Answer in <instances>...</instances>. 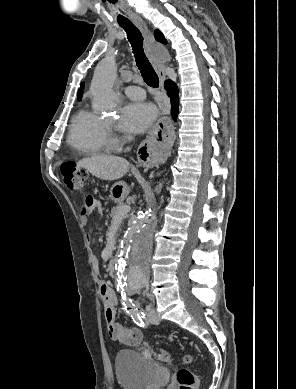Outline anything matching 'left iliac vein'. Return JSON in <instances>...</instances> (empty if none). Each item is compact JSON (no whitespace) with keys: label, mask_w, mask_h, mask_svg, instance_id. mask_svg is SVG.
I'll list each match as a JSON object with an SVG mask.
<instances>
[{"label":"left iliac vein","mask_w":296,"mask_h":389,"mask_svg":"<svg viewBox=\"0 0 296 389\" xmlns=\"http://www.w3.org/2000/svg\"><path fill=\"white\" fill-rule=\"evenodd\" d=\"M147 319L152 324H159L161 321L157 312L150 306L147 307Z\"/></svg>","instance_id":"left-iliac-vein-1"}]
</instances>
